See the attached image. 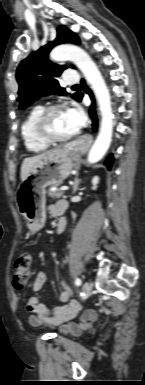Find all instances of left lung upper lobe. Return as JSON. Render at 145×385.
<instances>
[{
  "label": "left lung upper lobe",
  "mask_w": 145,
  "mask_h": 385,
  "mask_svg": "<svg viewBox=\"0 0 145 385\" xmlns=\"http://www.w3.org/2000/svg\"><path fill=\"white\" fill-rule=\"evenodd\" d=\"M59 43L79 44V38L65 26L57 30V39L31 53L18 66L16 79L19 83L18 102L21 109L28 107L42 96L65 94L56 77H59L64 65L53 64L48 60V53ZM72 98L81 101L82 94L75 93Z\"/></svg>",
  "instance_id": "left-lung-upper-lobe-1"
}]
</instances>
